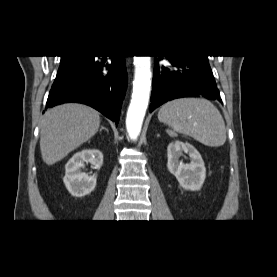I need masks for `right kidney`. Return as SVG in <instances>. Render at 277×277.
Returning <instances> with one entry per match:
<instances>
[{
    "label": "right kidney",
    "mask_w": 277,
    "mask_h": 277,
    "mask_svg": "<svg viewBox=\"0 0 277 277\" xmlns=\"http://www.w3.org/2000/svg\"><path fill=\"white\" fill-rule=\"evenodd\" d=\"M84 162H90L95 169H100L103 165V154L96 149L82 150L74 154L65 165L63 181L67 190L75 197L88 195L96 187L97 175L89 176L81 170Z\"/></svg>",
    "instance_id": "obj_1"
}]
</instances>
